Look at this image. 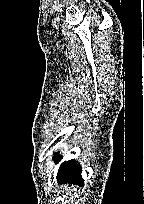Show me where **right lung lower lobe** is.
Returning a JSON list of instances; mask_svg holds the SVG:
<instances>
[{"mask_svg": "<svg viewBox=\"0 0 144 204\" xmlns=\"http://www.w3.org/2000/svg\"><path fill=\"white\" fill-rule=\"evenodd\" d=\"M55 155H58L56 153ZM56 160H60L61 156L58 155L55 157ZM58 182H73V183H83V179L81 177V169L80 166L77 164L76 161L71 160L68 162H64L57 174Z\"/></svg>", "mask_w": 144, "mask_h": 204, "instance_id": "right-lung-lower-lobe-1", "label": "right lung lower lobe"}]
</instances>
